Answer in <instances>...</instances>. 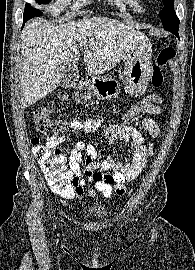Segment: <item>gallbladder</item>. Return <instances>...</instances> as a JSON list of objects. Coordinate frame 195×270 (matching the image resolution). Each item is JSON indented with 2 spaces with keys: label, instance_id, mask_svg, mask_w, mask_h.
<instances>
[{
  "label": "gallbladder",
  "instance_id": "obj_1",
  "mask_svg": "<svg viewBox=\"0 0 195 270\" xmlns=\"http://www.w3.org/2000/svg\"><path fill=\"white\" fill-rule=\"evenodd\" d=\"M60 69V82L59 86L66 88L76 81L79 76V70L76 65H61Z\"/></svg>",
  "mask_w": 195,
  "mask_h": 270
}]
</instances>
